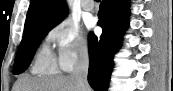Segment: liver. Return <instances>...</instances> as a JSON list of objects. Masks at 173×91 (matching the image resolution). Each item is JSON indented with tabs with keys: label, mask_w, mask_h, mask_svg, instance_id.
<instances>
[{
	"label": "liver",
	"mask_w": 173,
	"mask_h": 91,
	"mask_svg": "<svg viewBox=\"0 0 173 91\" xmlns=\"http://www.w3.org/2000/svg\"><path fill=\"white\" fill-rule=\"evenodd\" d=\"M76 80L70 76L20 77L13 91H79ZM87 91H92L89 87Z\"/></svg>",
	"instance_id": "liver-1"
}]
</instances>
